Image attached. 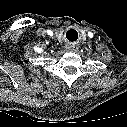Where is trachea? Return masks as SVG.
Returning a JSON list of instances; mask_svg holds the SVG:
<instances>
[{
	"label": "trachea",
	"instance_id": "trachea-1",
	"mask_svg": "<svg viewBox=\"0 0 127 127\" xmlns=\"http://www.w3.org/2000/svg\"><path fill=\"white\" fill-rule=\"evenodd\" d=\"M66 37L68 40L70 41H75L78 38V33L74 30V29H70L67 33H66Z\"/></svg>",
	"mask_w": 127,
	"mask_h": 127
}]
</instances>
